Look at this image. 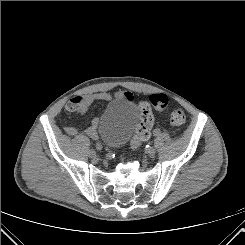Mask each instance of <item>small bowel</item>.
Returning a JSON list of instances; mask_svg holds the SVG:
<instances>
[{
    "label": "small bowel",
    "mask_w": 245,
    "mask_h": 245,
    "mask_svg": "<svg viewBox=\"0 0 245 245\" xmlns=\"http://www.w3.org/2000/svg\"><path fill=\"white\" fill-rule=\"evenodd\" d=\"M121 98H124L129 101H133L134 99L133 95L130 92H116L113 94L108 92H99L89 94L82 99V110L86 112L89 105L94 101H110L113 99ZM98 122V119H94L91 125L85 130V133L91 138L96 139L98 137ZM65 131L70 136H77L79 134L77 127L73 125L66 126Z\"/></svg>",
    "instance_id": "small-bowel-1"
}]
</instances>
